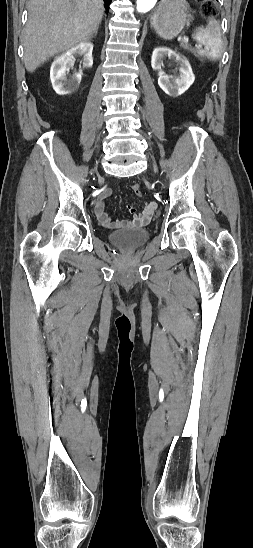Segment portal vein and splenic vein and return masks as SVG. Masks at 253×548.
I'll return each instance as SVG.
<instances>
[{"instance_id":"portal-vein-and-splenic-vein-1","label":"portal vein and splenic vein","mask_w":253,"mask_h":548,"mask_svg":"<svg viewBox=\"0 0 253 548\" xmlns=\"http://www.w3.org/2000/svg\"><path fill=\"white\" fill-rule=\"evenodd\" d=\"M183 40H184L185 42H188V38H187V37H184ZM196 47H197L198 49H200L202 46L198 44V45H196Z\"/></svg>"}]
</instances>
